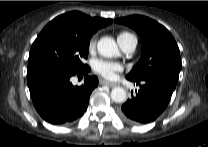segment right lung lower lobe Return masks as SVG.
I'll return each mask as SVG.
<instances>
[{
	"label": "right lung lower lobe",
	"instance_id": "1",
	"mask_svg": "<svg viewBox=\"0 0 208 147\" xmlns=\"http://www.w3.org/2000/svg\"><path fill=\"white\" fill-rule=\"evenodd\" d=\"M90 68L72 71L43 68L28 71L27 83L33 104L40 116L52 124L70 123L84 114L92 90L98 86L96 76H88ZM84 75L82 86H73L72 76Z\"/></svg>",
	"mask_w": 208,
	"mask_h": 147
}]
</instances>
